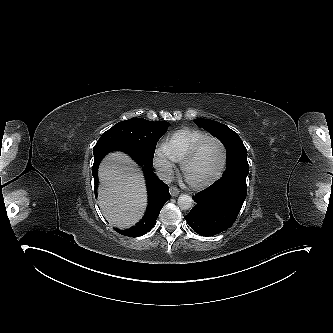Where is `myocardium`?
Returning a JSON list of instances; mask_svg holds the SVG:
<instances>
[{"instance_id":"1","label":"myocardium","mask_w":333,"mask_h":333,"mask_svg":"<svg viewBox=\"0 0 333 333\" xmlns=\"http://www.w3.org/2000/svg\"><path fill=\"white\" fill-rule=\"evenodd\" d=\"M209 140L216 141L221 147L222 159H221L220 167L217 170V172L211 178H209L205 181H201V182L190 181L186 176V167H187L188 163L192 159L195 158V156L199 152L202 145L205 142L209 141ZM226 163H227V150H226L225 144L223 143V141L220 138H218L214 135H208V136L202 138L201 140H199L197 143H195L191 147V149L187 152V154L184 156L183 160L181 161V171L183 173V176H184L185 180L187 181V183L191 187H193L195 189H201V188H205V187H208V186L212 185L213 183H215L221 177V175H222V173L225 169Z\"/></svg>"}]
</instances>
